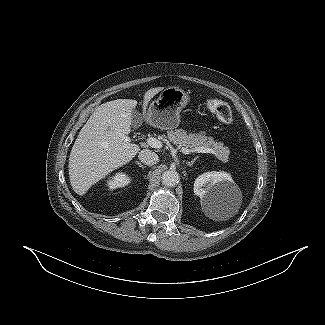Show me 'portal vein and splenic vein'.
<instances>
[{
  "label": "portal vein and splenic vein",
  "instance_id": "18ae733b",
  "mask_svg": "<svg viewBox=\"0 0 325 325\" xmlns=\"http://www.w3.org/2000/svg\"><path fill=\"white\" fill-rule=\"evenodd\" d=\"M123 139L126 142H130V138L127 136H125ZM147 144L149 146H151L152 148H161L162 147V142L154 137L147 138ZM181 151L184 154H190V153H212V154H215V152L212 148H206V147H197L194 149L182 148Z\"/></svg>",
  "mask_w": 325,
  "mask_h": 325
}]
</instances>
